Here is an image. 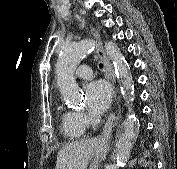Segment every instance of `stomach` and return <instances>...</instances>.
<instances>
[{
	"mask_svg": "<svg viewBox=\"0 0 177 169\" xmlns=\"http://www.w3.org/2000/svg\"><path fill=\"white\" fill-rule=\"evenodd\" d=\"M107 151H108V144L105 142L100 143L93 153L92 161L88 169H98L100 163L104 160Z\"/></svg>",
	"mask_w": 177,
	"mask_h": 169,
	"instance_id": "0dacf381",
	"label": "stomach"
}]
</instances>
